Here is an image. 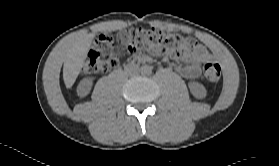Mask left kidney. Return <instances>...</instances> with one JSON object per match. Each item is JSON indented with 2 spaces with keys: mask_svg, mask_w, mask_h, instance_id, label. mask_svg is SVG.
<instances>
[{
  "mask_svg": "<svg viewBox=\"0 0 279 166\" xmlns=\"http://www.w3.org/2000/svg\"><path fill=\"white\" fill-rule=\"evenodd\" d=\"M188 86L191 94L198 99L204 98L207 94L206 88L201 83L190 82Z\"/></svg>",
  "mask_w": 279,
  "mask_h": 166,
  "instance_id": "5707ae66",
  "label": "left kidney"
}]
</instances>
